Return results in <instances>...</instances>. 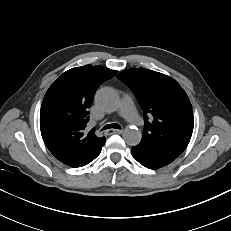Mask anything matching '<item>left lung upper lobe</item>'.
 Here are the masks:
<instances>
[{
    "label": "left lung upper lobe",
    "mask_w": 231,
    "mask_h": 231,
    "mask_svg": "<svg viewBox=\"0 0 231 231\" xmlns=\"http://www.w3.org/2000/svg\"><path fill=\"white\" fill-rule=\"evenodd\" d=\"M117 78L130 87L143 109L145 126L141 142L182 153L191 139L194 118L181 86L165 74L142 68L126 70Z\"/></svg>",
    "instance_id": "left-lung-upper-lobe-1"
}]
</instances>
